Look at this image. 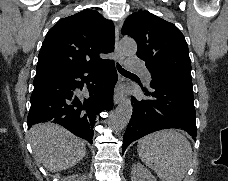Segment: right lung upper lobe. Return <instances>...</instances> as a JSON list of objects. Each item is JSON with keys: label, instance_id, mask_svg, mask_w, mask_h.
I'll return each instance as SVG.
<instances>
[{"label": "right lung upper lobe", "instance_id": "1", "mask_svg": "<svg viewBox=\"0 0 228 181\" xmlns=\"http://www.w3.org/2000/svg\"><path fill=\"white\" fill-rule=\"evenodd\" d=\"M114 39L113 23L95 10L63 18L46 35L36 77L99 63L100 53L114 50Z\"/></svg>", "mask_w": 228, "mask_h": 181}]
</instances>
